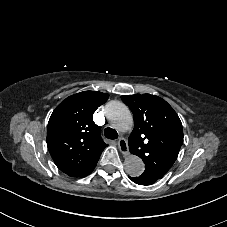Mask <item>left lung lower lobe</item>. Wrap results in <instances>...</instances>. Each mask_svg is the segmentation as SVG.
Wrapping results in <instances>:
<instances>
[{"label": "left lung lower lobe", "mask_w": 227, "mask_h": 227, "mask_svg": "<svg viewBox=\"0 0 227 227\" xmlns=\"http://www.w3.org/2000/svg\"><path fill=\"white\" fill-rule=\"evenodd\" d=\"M129 179L139 185H151L161 178H158L152 174L144 172L139 177H130L129 176Z\"/></svg>", "instance_id": "1"}]
</instances>
